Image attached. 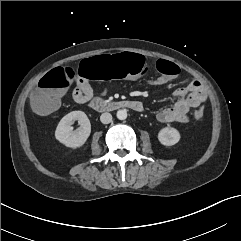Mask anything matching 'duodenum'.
<instances>
[{
    "mask_svg": "<svg viewBox=\"0 0 241 241\" xmlns=\"http://www.w3.org/2000/svg\"><path fill=\"white\" fill-rule=\"evenodd\" d=\"M90 108L98 112H109L115 111L123 108H133L137 107V104L132 101L127 100H112L106 101L102 99H93L90 104Z\"/></svg>",
    "mask_w": 241,
    "mask_h": 241,
    "instance_id": "duodenum-1",
    "label": "duodenum"
}]
</instances>
